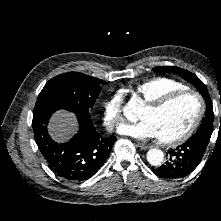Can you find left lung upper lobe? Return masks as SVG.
<instances>
[{
    "instance_id": "1",
    "label": "left lung upper lobe",
    "mask_w": 221,
    "mask_h": 221,
    "mask_svg": "<svg viewBox=\"0 0 221 221\" xmlns=\"http://www.w3.org/2000/svg\"><path fill=\"white\" fill-rule=\"evenodd\" d=\"M153 71L165 72V73H171V72L177 73L179 76H181L183 79L190 82L197 88V90L201 93V95L204 97L207 103V110H206L205 118L203 119L196 133L203 134V135L209 134V138H210L212 131H213L214 114H213L212 101L204 83L193 73L187 70H184L182 68L175 67V66L156 67L153 69Z\"/></svg>"
}]
</instances>
